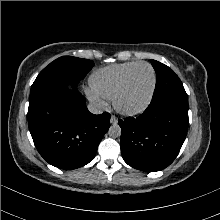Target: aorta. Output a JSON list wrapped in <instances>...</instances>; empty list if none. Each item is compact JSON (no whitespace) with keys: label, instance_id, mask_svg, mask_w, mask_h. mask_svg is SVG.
<instances>
[{"label":"aorta","instance_id":"obj_1","mask_svg":"<svg viewBox=\"0 0 220 220\" xmlns=\"http://www.w3.org/2000/svg\"><path fill=\"white\" fill-rule=\"evenodd\" d=\"M121 128L118 124H113L112 126H110L109 128V135L111 137H120L121 136Z\"/></svg>","mask_w":220,"mask_h":220}]
</instances>
